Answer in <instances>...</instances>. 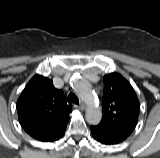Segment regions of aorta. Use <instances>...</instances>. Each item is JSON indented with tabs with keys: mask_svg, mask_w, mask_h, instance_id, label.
<instances>
[{
	"mask_svg": "<svg viewBox=\"0 0 160 158\" xmlns=\"http://www.w3.org/2000/svg\"><path fill=\"white\" fill-rule=\"evenodd\" d=\"M72 85L75 91L88 105L86 111V121L91 125L99 124L102 119V112L100 108L96 106L95 96L90 84L84 79L73 78Z\"/></svg>",
	"mask_w": 160,
	"mask_h": 158,
	"instance_id": "762f6f07",
	"label": "aorta"
}]
</instances>
